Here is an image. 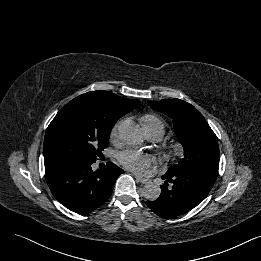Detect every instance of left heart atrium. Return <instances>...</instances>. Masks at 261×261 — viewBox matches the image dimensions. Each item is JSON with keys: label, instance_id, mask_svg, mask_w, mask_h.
<instances>
[{"label": "left heart atrium", "instance_id": "left-heart-atrium-1", "mask_svg": "<svg viewBox=\"0 0 261 261\" xmlns=\"http://www.w3.org/2000/svg\"><path fill=\"white\" fill-rule=\"evenodd\" d=\"M118 159L125 168L136 173H143L153 161L152 156L149 154L131 149L122 151L119 154Z\"/></svg>", "mask_w": 261, "mask_h": 261}]
</instances>
